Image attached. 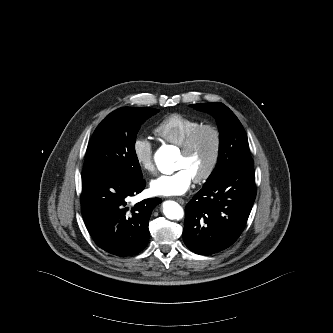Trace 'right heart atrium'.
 Returning a JSON list of instances; mask_svg holds the SVG:
<instances>
[{
	"label": "right heart atrium",
	"mask_w": 333,
	"mask_h": 333,
	"mask_svg": "<svg viewBox=\"0 0 333 333\" xmlns=\"http://www.w3.org/2000/svg\"><path fill=\"white\" fill-rule=\"evenodd\" d=\"M132 151L139 167L146 172L154 171L153 145L146 136H137L133 141Z\"/></svg>",
	"instance_id": "right-heart-atrium-1"
}]
</instances>
